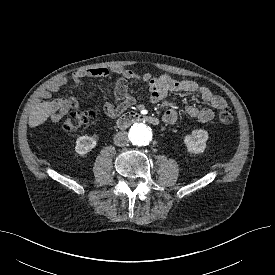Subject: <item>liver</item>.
<instances>
[{
    "label": "liver",
    "mask_w": 275,
    "mask_h": 275,
    "mask_svg": "<svg viewBox=\"0 0 275 275\" xmlns=\"http://www.w3.org/2000/svg\"><path fill=\"white\" fill-rule=\"evenodd\" d=\"M61 106L59 102H43L37 106L35 110L30 113L29 126L36 127L47 121Z\"/></svg>",
    "instance_id": "6515ba94"
}]
</instances>
